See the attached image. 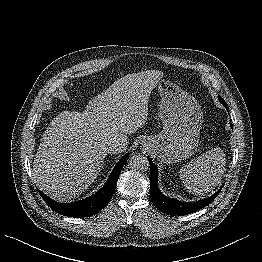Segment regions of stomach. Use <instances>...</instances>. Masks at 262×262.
<instances>
[{
  "label": "stomach",
  "instance_id": "obj_1",
  "mask_svg": "<svg viewBox=\"0 0 262 262\" xmlns=\"http://www.w3.org/2000/svg\"><path fill=\"white\" fill-rule=\"evenodd\" d=\"M159 116L163 131L143 138L142 147L155 152L163 163L180 162L191 157L199 145L203 113L197 100L178 85L161 80Z\"/></svg>",
  "mask_w": 262,
  "mask_h": 262
}]
</instances>
